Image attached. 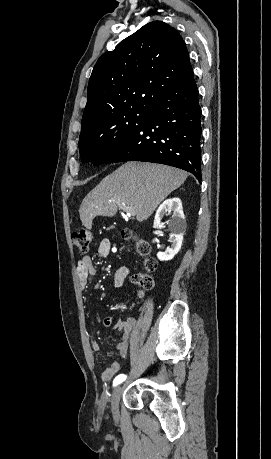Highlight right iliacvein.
<instances>
[{
	"label": "right iliac vein",
	"mask_w": 271,
	"mask_h": 459,
	"mask_svg": "<svg viewBox=\"0 0 271 459\" xmlns=\"http://www.w3.org/2000/svg\"><path fill=\"white\" fill-rule=\"evenodd\" d=\"M121 393H122V386L119 385L114 389L112 396H111V410H112V414L114 417H117L119 415L118 404L120 401Z\"/></svg>",
	"instance_id": "obj_1"
}]
</instances>
